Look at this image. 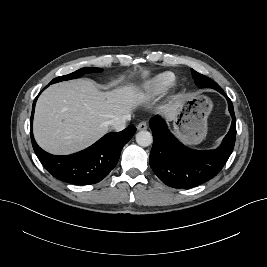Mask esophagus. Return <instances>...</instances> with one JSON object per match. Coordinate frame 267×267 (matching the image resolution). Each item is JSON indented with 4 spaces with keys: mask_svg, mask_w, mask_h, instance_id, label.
Instances as JSON below:
<instances>
[{
    "mask_svg": "<svg viewBox=\"0 0 267 267\" xmlns=\"http://www.w3.org/2000/svg\"><path fill=\"white\" fill-rule=\"evenodd\" d=\"M148 128V124L145 121H142L138 124L137 129L142 131Z\"/></svg>",
    "mask_w": 267,
    "mask_h": 267,
    "instance_id": "34e87169",
    "label": "esophagus"
}]
</instances>
